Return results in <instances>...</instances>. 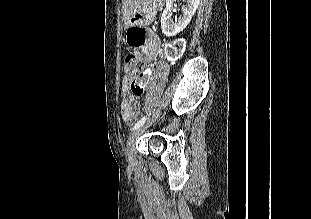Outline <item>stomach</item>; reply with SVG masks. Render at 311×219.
Instances as JSON below:
<instances>
[{"label":"stomach","instance_id":"1","mask_svg":"<svg viewBox=\"0 0 311 219\" xmlns=\"http://www.w3.org/2000/svg\"><path fill=\"white\" fill-rule=\"evenodd\" d=\"M157 0H138L137 7L133 10L128 20L130 25H149L156 16Z\"/></svg>","mask_w":311,"mask_h":219}]
</instances>
